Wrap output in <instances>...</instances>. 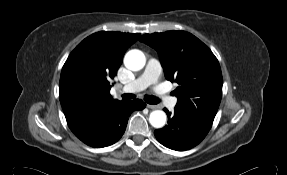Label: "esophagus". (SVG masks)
<instances>
[{
  "label": "esophagus",
  "instance_id": "1",
  "mask_svg": "<svg viewBox=\"0 0 287 175\" xmlns=\"http://www.w3.org/2000/svg\"><path fill=\"white\" fill-rule=\"evenodd\" d=\"M146 106H147L148 108H150V109H157V108H159L158 105L146 104Z\"/></svg>",
  "mask_w": 287,
  "mask_h": 175
}]
</instances>
